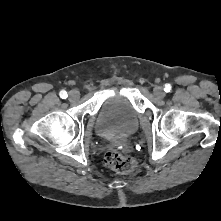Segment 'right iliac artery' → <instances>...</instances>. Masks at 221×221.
Masks as SVG:
<instances>
[{
  "label": "right iliac artery",
  "mask_w": 221,
  "mask_h": 221,
  "mask_svg": "<svg viewBox=\"0 0 221 221\" xmlns=\"http://www.w3.org/2000/svg\"><path fill=\"white\" fill-rule=\"evenodd\" d=\"M60 97L63 98V99H66L68 97V94L66 93V91H61L59 93Z\"/></svg>",
  "instance_id": "right-iliac-artery-1"
}]
</instances>
